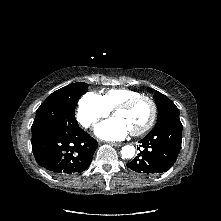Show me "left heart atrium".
I'll use <instances>...</instances> for the list:
<instances>
[{
	"label": "left heart atrium",
	"instance_id": "39dd6f15",
	"mask_svg": "<svg viewBox=\"0 0 221 221\" xmlns=\"http://www.w3.org/2000/svg\"><path fill=\"white\" fill-rule=\"evenodd\" d=\"M130 132L128 126L118 118H111L100 123L95 134L104 140L116 141L124 139Z\"/></svg>",
	"mask_w": 221,
	"mask_h": 221
}]
</instances>
